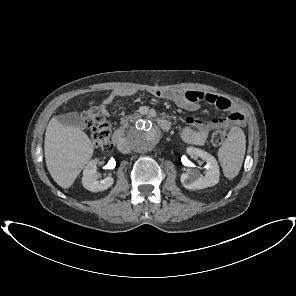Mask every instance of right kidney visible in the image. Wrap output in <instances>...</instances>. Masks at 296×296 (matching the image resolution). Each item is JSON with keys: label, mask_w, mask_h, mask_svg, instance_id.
<instances>
[{"label": "right kidney", "mask_w": 296, "mask_h": 296, "mask_svg": "<svg viewBox=\"0 0 296 296\" xmlns=\"http://www.w3.org/2000/svg\"><path fill=\"white\" fill-rule=\"evenodd\" d=\"M98 161V159L89 161L83 170V187L91 192L104 191L114 183V179L111 176H108L103 180H98V174L96 171Z\"/></svg>", "instance_id": "obj_1"}]
</instances>
